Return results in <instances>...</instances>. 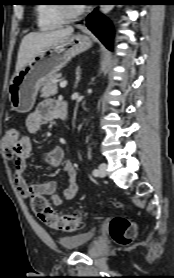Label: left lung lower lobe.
<instances>
[{"instance_id": "obj_1", "label": "left lung lower lobe", "mask_w": 174, "mask_h": 278, "mask_svg": "<svg viewBox=\"0 0 174 278\" xmlns=\"http://www.w3.org/2000/svg\"><path fill=\"white\" fill-rule=\"evenodd\" d=\"M107 2H111V0H107ZM86 24L88 29L91 30L108 49H111L113 30L109 20L97 10H94L87 17Z\"/></svg>"}]
</instances>
